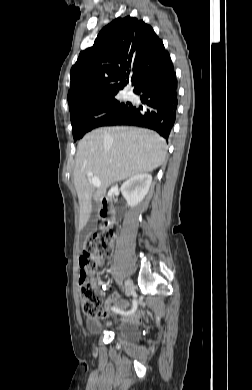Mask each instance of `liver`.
Listing matches in <instances>:
<instances>
[{
    "mask_svg": "<svg viewBox=\"0 0 252 390\" xmlns=\"http://www.w3.org/2000/svg\"><path fill=\"white\" fill-rule=\"evenodd\" d=\"M166 152L165 140L148 129L116 126L86 134L78 143L73 173L80 203L79 229L90 218L92 197L101 201L113 183L152 172L163 164ZM88 173L100 179L97 190L92 187Z\"/></svg>",
    "mask_w": 252,
    "mask_h": 390,
    "instance_id": "1",
    "label": "liver"
}]
</instances>
